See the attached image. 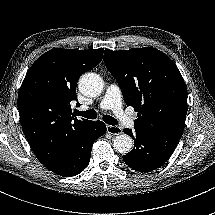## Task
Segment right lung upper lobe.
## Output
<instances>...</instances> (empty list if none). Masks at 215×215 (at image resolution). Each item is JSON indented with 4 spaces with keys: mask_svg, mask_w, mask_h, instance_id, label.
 <instances>
[{
    "mask_svg": "<svg viewBox=\"0 0 215 215\" xmlns=\"http://www.w3.org/2000/svg\"><path fill=\"white\" fill-rule=\"evenodd\" d=\"M104 49L55 48L28 70L18 94L23 132L38 160L47 168L63 157L72 132L89 120L71 116L79 77L98 65Z\"/></svg>",
    "mask_w": 215,
    "mask_h": 215,
    "instance_id": "obj_1",
    "label": "right lung upper lobe"
}]
</instances>
